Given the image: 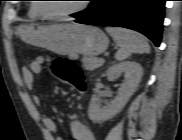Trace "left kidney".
<instances>
[{
	"label": "left kidney",
	"instance_id": "obj_1",
	"mask_svg": "<svg viewBox=\"0 0 182 140\" xmlns=\"http://www.w3.org/2000/svg\"><path fill=\"white\" fill-rule=\"evenodd\" d=\"M106 73L109 80L117 79L124 73L125 80L119 88L118 95L110 103L101 105L96 95L91 97L88 116L92 121L108 120L124 108L141 81L143 69L136 62L125 61L109 67Z\"/></svg>",
	"mask_w": 182,
	"mask_h": 140
}]
</instances>
